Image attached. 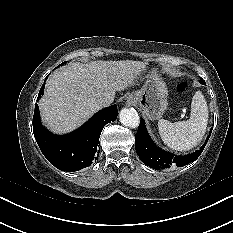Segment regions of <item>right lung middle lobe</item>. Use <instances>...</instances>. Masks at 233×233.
Listing matches in <instances>:
<instances>
[{"instance_id":"right-lung-middle-lobe-1","label":"right lung middle lobe","mask_w":233,"mask_h":233,"mask_svg":"<svg viewBox=\"0 0 233 233\" xmlns=\"http://www.w3.org/2000/svg\"><path fill=\"white\" fill-rule=\"evenodd\" d=\"M65 63H66V62H63L62 64H60V66L63 65V64H65Z\"/></svg>"}]
</instances>
